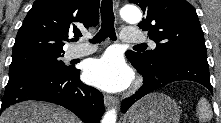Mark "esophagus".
<instances>
[{"label":"esophagus","instance_id":"34e87169","mask_svg":"<svg viewBox=\"0 0 221 123\" xmlns=\"http://www.w3.org/2000/svg\"><path fill=\"white\" fill-rule=\"evenodd\" d=\"M115 7L117 8L118 7V2L115 1ZM104 102H105V105L110 107V106H114L117 104V101L115 100V98L113 96H110V95H104Z\"/></svg>","mask_w":221,"mask_h":123}]
</instances>
